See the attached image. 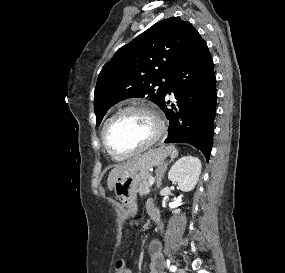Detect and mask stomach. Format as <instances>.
Instances as JSON below:
<instances>
[{
  "label": "stomach",
  "mask_w": 285,
  "mask_h": 273,
  "mask_svg": "<svg viewBox=\"0 0 285 273\" xmlns=\"http://www.w3.org/2000/svg\"><path fill=\"white\" fill-rule=\"evenodd\" d=\"M168 154L169 152L164 148L151 149L118 175L114 182L115 194L129 211L136 208L139 184L149 176V170L152 167L163 164Z\"/></svg>",
  "instance_id": "0dacf381"
}]
</instances>
